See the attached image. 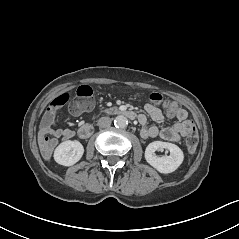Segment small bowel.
Instances as JSON below:
<instances>
[{"label":"small bowel","instance_id":"obj_1","mask_svg":"<svg viewBox=\"0 0 239 239\" xmlns=\"http://www.w3.org/2000/svg\"><path fill=\"white\" fill-rule=\"evenodd\" d=\"M144 109L152 120L156 122L163 120L164 115L156 105L146 104ZM167 115L171 118H176L177 121L169 127L159 128L154 125L146 126L147 118L144 114H140L138 121L143 126L141 136L144 139L160 137L167 141L176 142L188 136L192 130H196L193 122L188 119V113L185 109L179 108L174 114ZM74 134V131L67 128H55L54 126L41 128L39 132V144L43 156L49 158L54 148L58 145L60 138L67 140L72 138Z\"/></svg>","mask_w":239,"mask_h":239}]
</instances>
